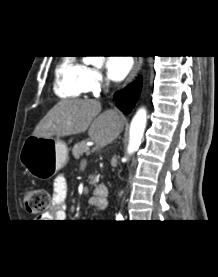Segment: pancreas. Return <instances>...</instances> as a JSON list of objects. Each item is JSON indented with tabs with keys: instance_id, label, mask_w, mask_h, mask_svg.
Masks as SVG:
<instances>
[{
	"instance_id": "pancreas-1",
	"label": "pancreas",
	"mask_w": 218,
	"mask_h": 277,
	"mask_svg": "<svg viewBox=\"0 0 218 277\" xmlns=\"http://www.w3.org/2000/svg\"><path fill=\"white\" fill-rule=\"evenodd\" d=\"M83 153H86L87 155L90 154L89 147H87V145H86V141H82V142L75 144L72 149V154L76 159H79L80 156L83 155ZM89 178H90V184L96 185L97 178L93 177V176H90Z\"/></svg>"
}]
</instances>
